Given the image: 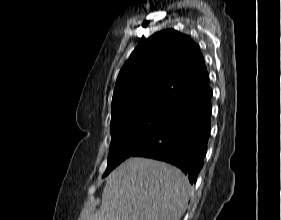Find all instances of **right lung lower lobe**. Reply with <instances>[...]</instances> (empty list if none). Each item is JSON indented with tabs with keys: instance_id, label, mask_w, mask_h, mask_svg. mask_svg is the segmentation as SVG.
Instances as JSON below:
<instances>
[{
	"instance_id": "obj_1",
	"label": "right lung lower lobe",
	"mask_w": 281,
	"mask_h": 220,
	"mask_svg": "<svg viewBox=\"0 0 281 220\" xmlns=\"http://www.w3.org/2000/svg\"><path fill=\"white\" fill-rule=\"evenodd\" d=\"M209 89L181 103L159 130L131 156L171 163L195 183L203 166L211 126Z\"/></svg>"
}]
</instances>
